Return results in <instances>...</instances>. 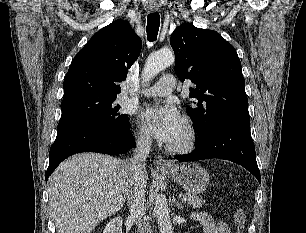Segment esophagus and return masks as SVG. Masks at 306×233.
Segmentation results:
<instances>
[{"instance_id":"34e87169","label":"esophagus","mask_w":306,"mask_h":233,"mask_svg":"<svg viewBox=\"0 0 306 233\" xmlns=\"http://www.w3.org/2000/svg\"><path fill=\"white\" fill-rule=\"evenodd\" d=\"M149 10L151 12H157L159 10V6L157 4H150ZM154 164L157 168H169L171 166L161 155H157L155 157Z\"/></svg>"}]
</instances>
